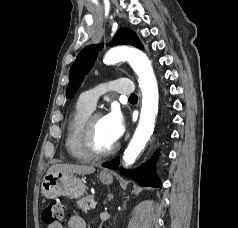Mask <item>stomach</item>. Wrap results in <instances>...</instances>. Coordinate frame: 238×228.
I'll list each match as a JSON object with an SVG mask.
<instances>
[{
    "instance_id": "1",
    "label": "stomach",
    "mask_w": 238,
    "mask_h": 228,
    "mask_svg": "<svg viewBox=\"0 0 238 228\" xmlns=\"http://www.w3.org/2000/svg\"><path fill=\"white\" fill-rule=\"evenodd\" d=\"M99 179L107 185L113 182V176L110 172H101ZM86 189L83 179L76 177L74 174L59 171L47 172L41 184V193L47 198H56L63 195L76 199L83 196Z\"/></svg>"
}]
</instances>
